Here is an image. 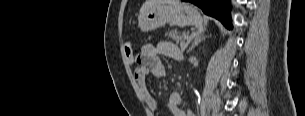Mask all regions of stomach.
<instances>
[{
  "instance_id": "stomach-1",
  "label": "stomach",
  "mask_w": 305,
  "mask_h": 116,
  "mask_svg": "<svg viewBox=\"0 0 305 116\" xmlns=\"http://www.w3.org/2000/svg\"><path fill=\"white\" fill-rule=\"evenodd\" d=\"M200 13L195 7L185 2L155 4L139 17L138 26L143 32L152 31L170 23L180 27L199 25Z\"/></svg>"
}]
</instances>
